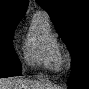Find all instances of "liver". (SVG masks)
Instances as JSON below:
<instances>
[{
  "label": "liver",
  "instance_id": "liver-1",
  "mask_svg": "<svg viewBox=\"0 0 89 89\" xmlns=\"http://www.w3.org/2000/svg\"><path fill=\"white\" fill-rule=\"evenodd\" d=\"M1 87L2 89H43L41 85L33 81L15 82L8 79L1 81Z\"/></svg>",
  "mask_w": 89,
  "mask_h": 89
}]
</instances>
